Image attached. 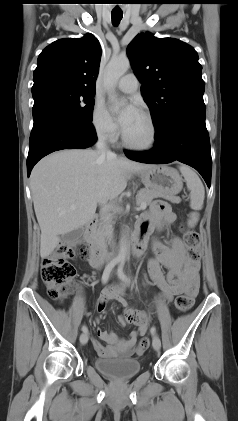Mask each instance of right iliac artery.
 I'll use <instances>...</instances> for the list:
<instances>
[{
    "mask_svg": "<svg viewBox=\"0 0 238 421\" xmlns=\"http://www.w3.org/2000/svg\"><path fill=\"white\" fill-rule=\"evenodd\" d=\"M117 263H118V260H117V259H115V260L111 261V262H110V263L106 266V268H105V270H104V272H103V275H102V283H103V284H106V283L108 282V279H109L110 273H111L112 269L114 268V266H115ZM82 331H83V332H85V333H87V332H88L87 327H86V326H83V327H82Z\"/></svg>",
    "mask_w": 238,
    "mask_h": 421,
    "instance_id": "82829eb1",
    "label": "right iliac artery"
}]
</instances>
